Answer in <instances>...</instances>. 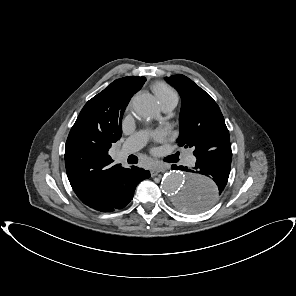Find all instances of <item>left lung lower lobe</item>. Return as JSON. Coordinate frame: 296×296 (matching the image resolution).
Returning <instances> with one entry per match:
<instances>
[{
  "label": "left lung lower lobe",
  "instance_id": "0a47b994",
  "mask_svg": "<svg viewBox=\"0 0 296 296\" xmlns=\"http://www.w3.org/2000/svg\"><path fill=\"white\" fill-rule=\"evenodd\" d=\"M232 160L231 145L223 146L218 152H208L205 156L197 158L194 168L173 165V169L189 172V177L209 176L216 184L215 191H205L201 198L192 196L186 202V208L191 213L202 212L211 207L222 194L230 173Z\"/></svg>",
  "mask_w": 296,
  "mask_h": 296
}]
</instances>
